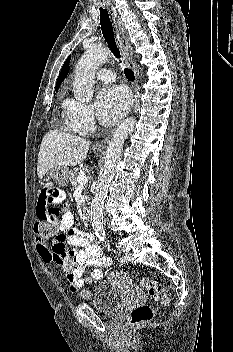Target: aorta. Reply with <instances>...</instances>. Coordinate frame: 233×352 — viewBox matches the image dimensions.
<instances>
[{
    "mask_svg": "<svg viewBox=\"0 0 233 352\" xmlns=\"http://www.w3.org/2000/svg\"><path fill=\"white\" fill-rule=\"evenodd\" d=\"M109 52L100 47L89 48L80 58L73 84L74 96L81 102H89L93 97L94 73L107 60ZM135 126V119L124 120L116 129L107 147L104 166L98 177V182L91 202V222L95 234L100 239L105 237L103 227V207L108 187L114 177L116 166L121 158L124 141Z\"/></svg>",
    "mask_w": 233,
    "mask_h": 352,
    "instance_id": "1",
    "label": "aorta"
}]
</instances>
